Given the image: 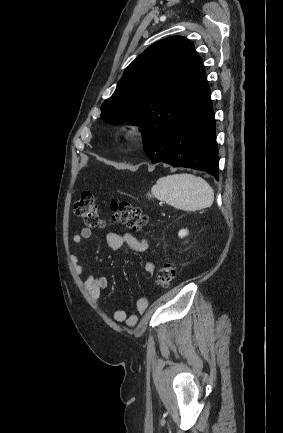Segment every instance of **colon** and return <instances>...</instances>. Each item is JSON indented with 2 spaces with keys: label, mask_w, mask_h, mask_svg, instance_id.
<instances>
[{
  "label": "colon",
  "mask_w": 283,
  "mask_h": 433,
  "mask_svg": "<svg viewBox=\"0 0 283 433\" xmlns=\"http://www.w3.org/2000/svg\"><path fill=\"white\" fill-rule=\"evenodd\" d=\"M111 221L121 223L129 229L140 231L148 222L143 211L128 201L111 203ZM74 213L90 227H102L105 221L101 218L97 203L91 192L84 191L74 204ZM176 275V268L171 263L164 264L157 272L156 283L167 287Z\"/></svg>",
  "instance_id": "1"
}]
</instances>
